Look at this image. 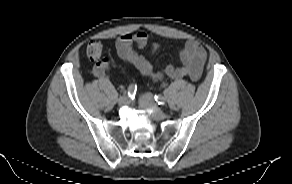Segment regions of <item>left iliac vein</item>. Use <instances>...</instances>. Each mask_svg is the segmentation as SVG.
<instances>
[{"label": "left iliac vein", "instance_id": "left-iliac-vein-1", "mask_svg": "<svg viewBox=\"0 0 292 184\" xmlns=\"http://www.w3.org/2000/svg\"><path fill=\"white\" fill-rule=\"evenodd\" d=\"M139 103L143 108H153L158 119H165L167 117V114L157 107V104L151 93L143 94L139 99Z\"/></svg>", "mask_w": 292, "mask_h": 184}]
</instances>
